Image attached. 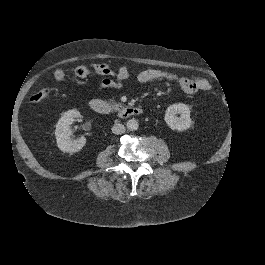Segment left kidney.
I'll return each instance as SVG.
<instances>
[{
	"label": "left kidney",
	"mask_w": 265,
	"mask_h": 265,
	"mask_svg": "<svg viewBox=\"0 0 265 265\" xmlns=\"http://www.w3.org/2000/svg\"><path fill=\"white\" fill-rule=\"evenodd\" d=\"M175 114H180L179 120L174 118ZM190 114L191 111L186 105L173 104L166 109L164 121L171 130L184 132L189 130L193 125Z\"/></svg>",
	"instance_id": "5707ae66"
}]
</instances>
